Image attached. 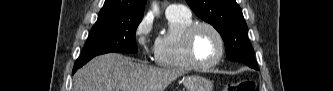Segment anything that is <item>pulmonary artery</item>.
Returning a JSON list of instances; mask_svg holds the SVG:
<instances>
[{
  "label": "pulmonary artery",
  "instance_id": "obj_1",
  "mask_svg": "<svg viewBox=\"0 0 333 91\" xmlns=\"http://www.w3.org/2000/svg\"><path fill=\"white\" fill-rule=\"evenodd\" d=\"M167 14H190L189 9L181 4H171L166 8Z\"/></svg>",
  "mask_w": 333,
  "mask_h": 91
}]
</instances>
